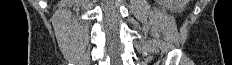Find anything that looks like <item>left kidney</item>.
Instances as JSON below:
<instances>
[{
    "instance_id": "5707ae66",
    "label": "left kidney",
    "mask_w": 232,
    "mask_h": 65,
    "mask_svg": "<svg viewBox=\"0 0 232 65\" xmlns=\"http://www.w3.org/2000/svg\"><path fill=\"white\" fill-rule=\"evenodd\" d=\"M165 8L173 12H181L184 10L187 0H158Z\"/></svg>"
}]
</instances>
